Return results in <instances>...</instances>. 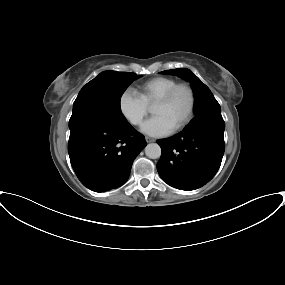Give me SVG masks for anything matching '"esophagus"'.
<instances>
[{
	"instance_id": "esophagus-1",
	"label": "esophagus",
	"mask_w": 285,
	"mask_h": 285,
	"mask_svg": "<svg viewBox=\"0 0 285 285\" xmlns=\"http://www.w3.org/2000/svg\"><path fill=\"white\" fill-rule=\"evenodd\" d=\"M145 139H146V142H147V143H151V142H154V141H155V139L150 138V137H148V136H146Z\"/></svg>"
}]
</instances>
